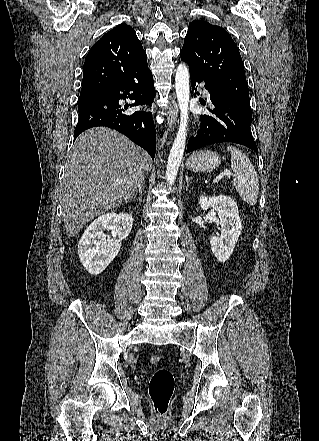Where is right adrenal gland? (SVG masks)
<instances>
[{
    "instance_id": "2a0ac1e0",
    "label": "right adrenal gland",
    "mask_w": 319,
    "mask_h": 441,
    "mask_svg": "<svg viewBox=\"0 0 319 441\" xmlns=\"http://www.w3.org/2000/svg\"><path fill=\"white\" fill-rule=\"evenodd\" d=\"M142 184H143V181L139 184V186H138V190L136 191V193H135V195H134V198H136V196H137L138 193H140L141 195H143Z\"/></svg>"
}]
</instances>
